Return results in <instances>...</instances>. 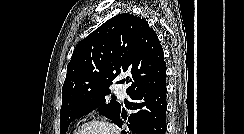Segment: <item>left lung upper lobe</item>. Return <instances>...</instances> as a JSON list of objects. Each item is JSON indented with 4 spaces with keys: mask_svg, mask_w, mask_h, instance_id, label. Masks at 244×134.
Listing matches in <instances>:
<instances>
[{
    "mask_svg": "<svg viewBox=\"0 0 244 134\" xmlns=\"http://www.w3.org/2000/svg\"><path fill=\"white\" fill-rule=\"evenodd\" d=\"M119 75H125L117 83L128 84L127 94L166 84V63L155 31L129 13L112 17L77 44L62 88L60 134L95 108L116 122L121 105L107 103L105 96Z\"/></svg>",
    "mask_w": 244,
    "mask_h": 134,
    "instance_id": "obj_1",
    "label": "left lung upper lobe"
}]
</instances>
